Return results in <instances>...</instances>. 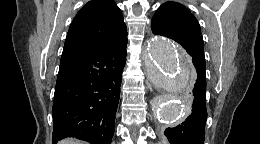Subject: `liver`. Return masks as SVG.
I'll use <instances>...</instances> for the list:
<instances>
[{
  "label": "liver",
  "mask_w": 260,
  "mask_h": 144,
  "mask_svg": "<svg viewBox=\"0 0 260 144\" xmlns=\"http://www.w3.org/2000/svg\"><path fill=\"white\" fill-rule=\"evenodd\" d=\"M60 144H83V143L74 139H65L61 141Z\"/></svg>",
  "instance_id": "obj_1"
}]
</instances>
